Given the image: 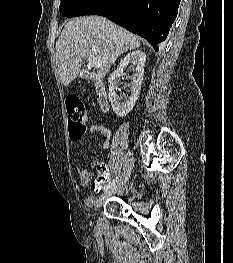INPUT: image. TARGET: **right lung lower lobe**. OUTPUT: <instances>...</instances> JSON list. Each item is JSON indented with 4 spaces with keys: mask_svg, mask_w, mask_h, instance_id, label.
Returning a JSON list of instances; mask_svg holds the SVG:
<instances>
[{
    "mask_svg": "<svg viewBox=\"0 0 233 263\" xmlns=\"http://www.w3.org/2000/svg\"><path fill=\"white\" fill-rule=\"evenodd\" d=\"M180 0H108L89 14L104 16L148 40L159 50L176 19Z\"/></svg>",
    "mask_w": 233,
    "mask_h": 263,
    "instance_id": "1",
    "label": "right lung lower lobe"
}]
</instances>
